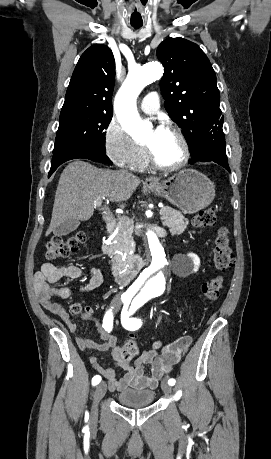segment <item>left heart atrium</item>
<instances>
[{"label": "left heart atrium", "mask_w": 271, "mask_h": 459, "mask_svg": "<svg viewBox=\"0 0 271 459\" xmlns=\"http://www.w3.org/2000/svg\"><path fill=\"white\" fill-rule=\"evenodd\" d=\"M156 130H157L158 132H160V131L163 130V127H162V126H158V127L156 128Z\"/></svg>", "instance_id": "obj_1"}]
</instances>
